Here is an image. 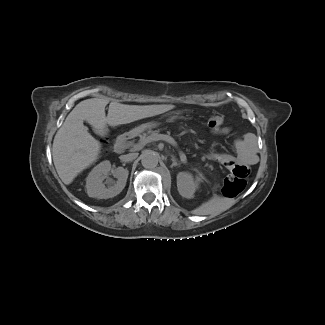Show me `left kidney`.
<instances>
[{
	"label": "left kidney",
	"instance_id": "1",
	"mask_svg": "<svg viewBox=\"0 0 325 325\" xmlns=\"http://www.w3.org/2000/svg\"><path fill=\"white\" fill-rule=\"evenodd\" d=\"M203 181V175L198 173L194 178L189 172H179L177 175V188L182 197L191 199L194 196L200 182Z\"/></svg>",
	"mask_w": 325,
	"mask_h": 325
}]
</instances>
